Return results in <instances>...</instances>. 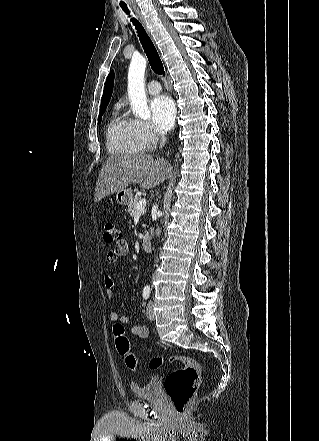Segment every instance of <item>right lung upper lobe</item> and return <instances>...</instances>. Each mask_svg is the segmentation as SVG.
I'll return each mask as SVG.
<instances>
[{
    "label": "right lung upper lobe",
    "instance_id": "right-lung-upper-lobe-1",
    "mask_svg": "<svg viewBox=\"0 0 319 441\" xmlns=\"http://www.w3.org/2000/svg\"><path fill=\"white\" fill-rule=\"evenodd\" d=\"M113 84H114V72L112 70L109 73L105 83L100 109L105 106L107 107L113 92Z\"/></svg>",
    "mask_w": 319,
    "mask_h": 441
}]
</instances>
